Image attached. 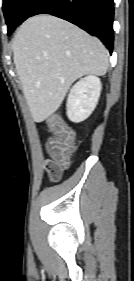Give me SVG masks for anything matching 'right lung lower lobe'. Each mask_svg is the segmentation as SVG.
<instances>
[{
    "mask_svg": "<svg viewBox=\"0 0 134 281\" xmlns=\"http://www.w3.org/2000/svg\"><path fill=\"white\" fill-rule=\"evenodd\" d=\"M37 14H51L95 35L112 53L113 0H30L21 23Z\"/></svg>",
    "mask_w": 134,
    "mask_h": 281,
    "instance_id": "1",
    "label": "right lung lower lobe"
}]
</instances>
